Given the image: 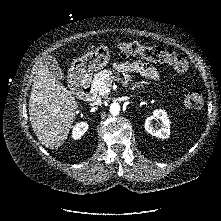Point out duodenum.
I'll list each match as a JSON object with an SVG mask.
<instances>
[{
	"mask_svg": "<svg viewBox=\"0 0 221 221\" xmlns=\"http://www.w3.org/2000/svg\"><path fill=\"white\" fill-rule=\"evenodd\" d=\"M79 94L86 101H93L95 99V92L89 81H85L82 84Z\"/></svg>",
	"mask_w": 221,
	"mask_h": 221,
	"instance_id": "obj_1",
	"label": "duodenum"
}]
</instances>
